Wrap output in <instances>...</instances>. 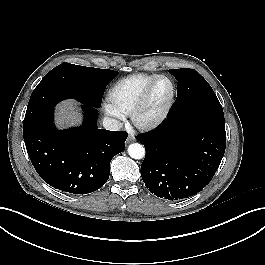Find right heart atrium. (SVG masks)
I'll list each match as a JSON object with an SVG mask.
<instances>
[{"instance_id": "d8ad5b80", "label": "right heart atrium", "mask_w": 265, "mask_h": 265, "mask_svg": "<svg viewBox=\"0 0 265 265\" xmlns=\"http://www.w3.org/2000/svg\"><path fill=\"white\" fill-rule=\"evenodd\" d=\"M107 112H108L109 114H111V115H114V116H120V115H118V114L112 112L110 109H108V107H107Z\"/></svg>"}]
</instances>
